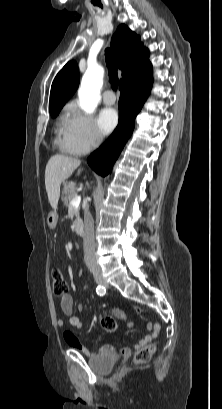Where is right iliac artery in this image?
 Returning <instances> with one entry per match:
<instances>
[{"mask_svg": "<svg viewBox=\"0 0 222 409\" xmlns=\"http://www.w3.org/2000/svg\"><path fill=\"white\" fill-rule=\"evenodd\" d=\"M96 293H97L99 296H104V295L106 294V288L99 285V286H97V288H96Z\"/></svg>", "mask_w": 222, "mask_h": 409, "instance_id": "obj_1", "label": "right iliac artery"}]
</instances>
